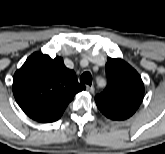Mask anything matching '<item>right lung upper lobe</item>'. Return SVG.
<instances>
[{"instance_id": "right-lung-upper-lobe-1", "label": "right lung upper lobe", "mask_w": 165, "mask_h": 154, "mask_svg": "<svg viewBox=\"0 0 165 154\" xmlns=\"http://www.w3.org/2000/svg\"><path fill=\"white\" fill-rule=\"evenodd\" d=\"M85 90L61 57L35 52L13 78V94L21 109L33 120L65 110L74 96Z\"/></svg>"}]
</instances>
